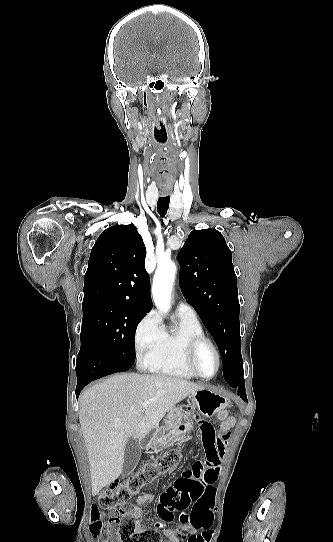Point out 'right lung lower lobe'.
Returning a JSON list of instances; mask_svg holds the SVG:
<instances>
[{
  "instance_id": "98d812e1",
  "label": "right lung lower lobe",
  "mask_w": 333,
  "mask_h": 542,
  "mask_svg": "<svg viewBox=\"0 0 333 542\" xmlns=\"http://www.w3.org/2000/svg\"><path fill=\"white\" fill-rule=\"evenodd\" d=\"M81 350V349H80ZM84 354H78L76 362V397L91 381L116 372H124L133 364L114 358L106 350L93 343H87Z\"/></svg>"
}]
</instances>
